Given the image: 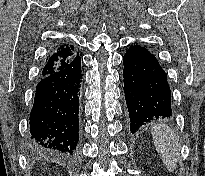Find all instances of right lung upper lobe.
Listing matches in <instances>:
<instances>
[{
  "mask_svg": "<svg viewBox=\"0 0 205 176\" xmlns=\"http://www.w3.org/2000/svg\"><path fill=\"white\" fill-rule=\"evenodd\" d=\"M76 54L75 48L73 45L62 44L55 48L50 54L45 66L43 67L41 75L44 76L50 73L52 70L57 69L60 66H63L69 60H71Z\"/></svg>",
  "mask_w": 205,
  "mask_h": 176,
  "instance_id": "cb5924a9",
  "label": "right lung upper lobe"
}]
</instances>
